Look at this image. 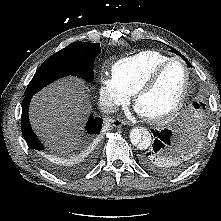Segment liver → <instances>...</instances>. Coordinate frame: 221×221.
Returning a JSON list of instances; mask_svg holds the SVG:
<instances>
[{
  "instance_id": "obj_1",
  "label": "liver",
  "mask_w": 221,
  "mask_h": 221,
  "mask_svg": "<svg viewBox=\"0 0 221 221\" xmlns=\"http://www.w3.org/2000/svg\"><path fill=\"white\" fill-rule=\"evenodd\" d=\"M85 84L62 79L33 97L29 109L32 128L51 149L71 151L82 129L90 102Z\"/></svg>"
}]
</instances>
